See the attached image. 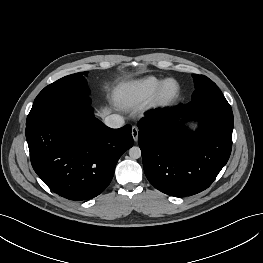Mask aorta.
Instances as JSON below:
<instances>
[{
    "label": "aorta",
    "instance_id": "aorta-1",
    "mask_svg": "<svg viewBox=\"0 0 263 263\" xmlns=\"http://www.w3.org/2000/svg\"><path fill=\"white\" fill-rule=\"evenodd\" d=\"M129 156L132 158V159H138L141 157V150L139 147L137 146H133L129 149Z\"/></svg>",
    "mask_w": 263,
    "mask_h": 263
}]
</instances>
